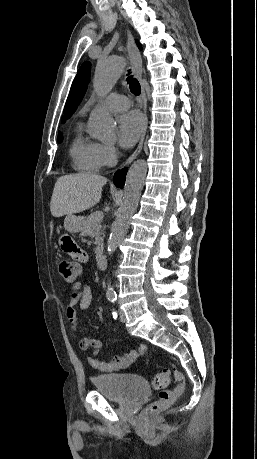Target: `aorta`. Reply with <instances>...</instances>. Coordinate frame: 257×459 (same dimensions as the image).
Wrapping results in <instances>:
<instances>
[{
    "label": "aorta",
    "mask_w": 257,
    "mask_h": 459,
    "mask_svg": "<svg viewBox=\"0 0 257 459\" xmlns=\"http://www.w3.org/2000/svg\"><path fill=\"white\" fill-rule=\"evenodd\" d=\"M124 65L121 57H111L98 63L94 75V89L99 96H106L112 90L123 73ZM115 120L108 113L95 111L89 118L91 135L102 141L111 142L115 138ZM147 173L145 160L135 161L126 177L124 195L115 221L111 226V233L107 242V252L111 255L119 246L129 228L132 214L135 212L140 199ZM111 284H107L106 295L114 296Z\"/></svg>",
    "instance_id": "1"
}]
</instances>
